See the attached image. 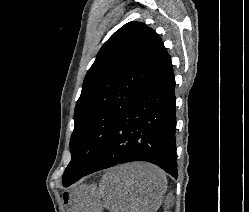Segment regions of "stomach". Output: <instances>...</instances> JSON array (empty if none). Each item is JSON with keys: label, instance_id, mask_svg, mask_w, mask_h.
Here are the masks:
<instances>
[{"label": "stomach", "instance_id": "1", "mask_svg": "<svg viewBox=\"0 0 249 212\" xmlns=\"http://www.w3.org/2000/svg\"><path fill=\"white\" fill-rule=\"evenodd\" d=\"M101 198L97 186L81 184L65 192L63 202L69 206L70 212H102Z\"/></svg>", "mask_w": 249, "mask_h": 212}]
</instances>
